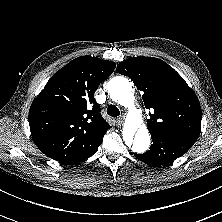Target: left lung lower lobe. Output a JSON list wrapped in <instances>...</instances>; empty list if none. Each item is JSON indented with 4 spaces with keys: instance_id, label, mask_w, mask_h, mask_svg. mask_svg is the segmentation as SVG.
<instances>
[{
    "instance_id": "0a47b994",
    "label": "left lung lower lobe",
    "mask_w": 222,
    "mask_h": 222,
    "mask_svg": "<svg viewBox=\"0 0 222 222\" xmlns=\"http://www.w3.org/2000/svg\"><path fill=\"white\" fill-rule=\"evenodd\" d=\"M153 144L144 154L135 157L151 166H161L172 163L193 146L196 140L168 133H151Z\"/></svg>"
}]
</instances>
